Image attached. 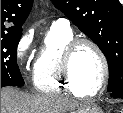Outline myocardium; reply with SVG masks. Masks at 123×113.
Segmentation results:
<instances>
[{
	"label": "myocardium",
	"instance_id": "f54148a6",
	"mask_svg": "<svg viewBox=\"0 0 123 113\" xmlns=\"http://www.w3.org/2000/svg\"><path fill=\"white\" fill-rule=\"evenodd\" d=\"M88 45L92 47L96 53L98 54L101 64H102V80L99 84V86L92 92H86L80 88H78L74 82L73 75H72V61L77 53V51L80 49L81 46ZM61 70L62 74L67 81L69 87L80 93L82 97L86 98H92L100 95L106 88L109 76H110V69H109V63L108 59L100 47L98 43H96L94 40L90 38H73L65 47L62 57V64H61Z\"/></svg>",
	"mask_w": 123,
	"mask_h": 113
}]
</instances>
